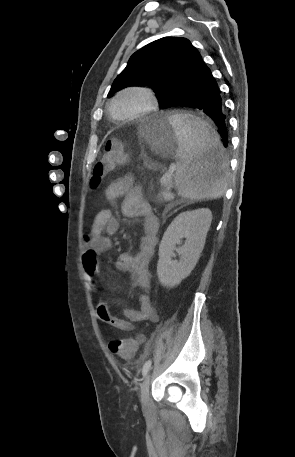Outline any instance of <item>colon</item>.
<instances>
[{"label": "colon", "instance_id": "colon-1", "mask_svg": "<svg viewBox=\"0 0 295 457\" xmlns=\"http://www.w3.org/2000/svg\"><path fill=\"white\" fill-rule=\"evenodd\" d=\"M127 162V154L118 139H109L103 146L99 160L94 166L91 187L99 186L102 178L119 166ZM141 337L119 339L106 342V349L111 350L112 355H119L124 359L133 358Z\"/></svg>", "mask_w": 295, "mask_h": 457}]
</instances>
